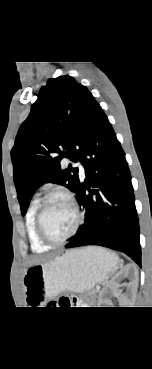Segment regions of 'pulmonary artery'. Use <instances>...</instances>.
<instances>
[{
    "label": "pulmonary artery",
    "instance_id": "e3ab8cb5",
    "mask_svg": "<svg viewBox=\"0 0 152 369\" xmlns=\"http://www.w3.org/2000/svg\"><path fill=\"white\" fill-rule=\"evenodd\" d=\"M75 166H77V167H78L80 174H81V175H84V173H85V169H84V167H83L82 163H81L80 161H77V162L75 163Z\"/></svg>",
    "mask_w": 152,
    "mask_h": 369
}]
</instances>
